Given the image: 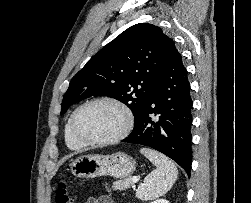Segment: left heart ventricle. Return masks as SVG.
<instances>
[{
    "label": "left heart ventricle",
    "mask_w": 251,
    "mask_h": 203,
    "mask_svg": "<svg viewBox=\"0 0 251 203\" xmlns=\"http://www.w3.org/2000/svg\"><path fill=\"white\" fill-rule=\"evenodd\" d=\"M124 122V115L119 108L108 103H96L79 113L76 128L85 138L102 140L116 135Z\"/></svg>",
    "instance_id": "1"
}]
</instances>
